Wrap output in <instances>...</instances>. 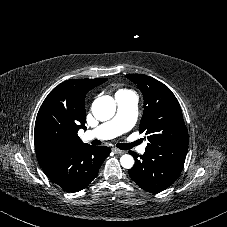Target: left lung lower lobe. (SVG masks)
<instances>
[{
	"label": "left lung lower lobe",
	"instance_id": "left-lung-lower-lobe-1",
	"mask_svg": "<svg viewBox=\"0 0 227 227\" xmlns=\"http://www.w3.org/2000/svg\"><path fill=\"white\" fill-rule=\"evenodd\" d=\"M188 146H147L143 155L133 151L135 164L129 169L131 179L151 193L165 190L181 174Z\"/></svg>",
	"mask_w": 227,
	"mask_h": 227
}]
</instances>
